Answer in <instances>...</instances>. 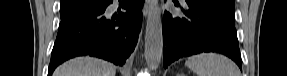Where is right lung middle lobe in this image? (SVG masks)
I'll return each mask as SVG.
<instances>
[{"label":"right lung middle lobe","mask_w":287,"mask_h":76,"mask_svg":"<svg viewBox=\"0 0 287 76\" xmlns=\"http://www.w3.org/2000/svg\"><path fill=\"white\" fill-rule=\"evenodd\" d=\"M95 3V0H61V20L67 19Z\"/></svg>","instance_id":"dd1d6c3e"}]
</instances>
